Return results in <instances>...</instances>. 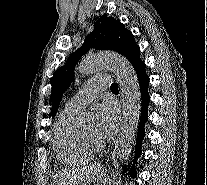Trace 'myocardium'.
<instances>
[{
  "label": "myocardium",
  "mask_w": 207,
  "mask_h": 185,
  "mask_svg": "<svg viewBox=\"0 0 207 185\" xmlns=\"http://www.w3.org/2000/svg\"><path fill=\"white\" fill-rule=\"evenodd\" d=\"M82 136L85 140V142L96 152H99L100 150H102L106 143L105 141L99 137L96 134H87L86 132H84L83 130L81 131Z\"/></svg>",
  "instance_id": "1"
}]
</instances>
